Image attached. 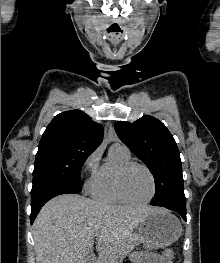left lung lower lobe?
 Wrapping results in <instances>:
<instances>
[{
	"instance_id": "1",
	"label": "left lung lower lobe",
	"mask_w": 220,
	"mask_h": 263,
	"mask_svg": "<svg viewBox=\"0 0 220 263\" xmlns=\"http://www.w3.org/2000/svg\"><path fill=\"white\" fill-rule=\"evenodd\" d=\"M153 206H161V207H165L167 209L173 210L175 212H178L181 215V217L186 221V208L185 209L184 208H174V207L164 206V205H153Z\"/></svg>"
}]
</instances>
